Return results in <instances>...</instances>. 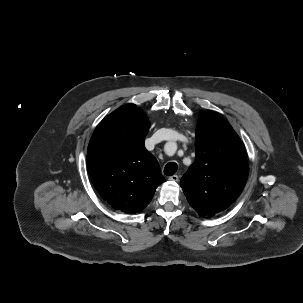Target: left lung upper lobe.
Wrapping results in <instances>:
<instances>
[{"mask_svg":"<svg viewBox=\"0 0 303 303\" xmlns=\"http://www.w3.org/2000/svg\"><path fill=\"white\" fill-rule=\"evenodd\" d=\"M196 159L180 185L189 204L203 217L226 210L248 177L244 145L219 114L202 111L196 129Z\"/></svg>","mask_w":303,"mask_h":303,"instance_id":"obj_1","label":"left lung upper lobe"}]
</instances>
